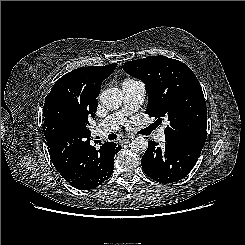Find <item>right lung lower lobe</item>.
I'll return each instance as SVG.
<instances>
[{"instance_id":"obj_1","label":"right lung lower lobe","mask_w":245,"mask_h":245,"mask_svg":"<svg viewBox=\"0 0 245 245\" xmlns=\"http://www.w3.org/2000/svg\"><path fill=\"white\" fill-rule=\"evenodd\" d=\"M47 146L57 171L80 190L93 189L106 181L113 172L114 156L121 149L113 142H105L98 150L90 141L74 146L66 138L47 141Z\"/></svg>"}]
</instances>
